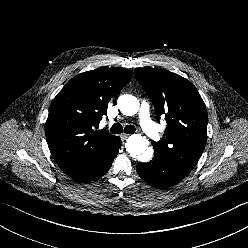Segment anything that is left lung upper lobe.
<instances>
[{"mask_svg": "<svg viewBox=\"0 0 248 248\" xmlns=\"http://www.w3.org/2000/svg\"><path fill=\"white\" fill-rule=\"evenodd\" d=\"M135 78L151 99L159 121L167 127L154 153L189 173L199 161L207 138V110L195 86L165 69L138 68Z\"/></svg>", "mask_w": 248, "mask_h": 248, "instance_id": "left-lung-upper-lobe-1", "label": "left lung upper lobe"}]
</instances>
